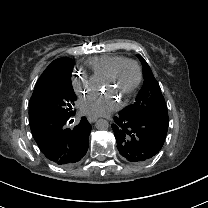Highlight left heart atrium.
I'll use <instances>...</instances> for the list:
<instances>
[{"label": "left heart atrium", "mask_w": 208, "mask_h": 208, "mask_svg": "<svg viewBox=\"0 0 208 208\" xmlns=\"http://www.w3.org/2000/svg\"><path fill=\"white\" fill-rule=\"evenodd\" d=\"M80 108L85 114L103 116L108 114L113 109V105L110 101L108 102L105 100L94 99L91 95L80 101Z\"/></svg>", "instance_id": "39dd6f15"}]
</instances>
